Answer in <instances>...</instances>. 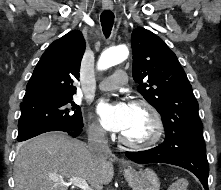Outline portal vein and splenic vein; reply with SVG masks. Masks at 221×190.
Wrapping results in <instances>:
<instances>
[{
	"instance_id": "obj_1",
	"label": "portal vein and splenic vein",
	"mask_w": 221,
	"mask_h": 190,
	"mask_svg": "<svg viewBox=\"0 0 221 190\" xmlns=\"http://www.w3.org/2000/svg\"><path fill=\"white\" fill-rule=\"evenodd\" d=\"M53 180H54L55 182H58V183H61V184L77 186V187H79L81 190H93V189L89 186V184L86 182V180H85V179H82V178L73 177V178H69L67 181L64 180V179H55V178H53Z\"/></svg>"
}]
</instances>
